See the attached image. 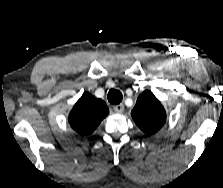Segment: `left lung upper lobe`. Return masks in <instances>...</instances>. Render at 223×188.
Returning a JSON list of instances; mask_svg holds the SVG:
<instances>
[{"label": "left lung upper lobe", "mask_w": 223, "mask_h": 188, "mask_svg": "<svg viewBox=\"0 0 223 188\" xmlns=\"http://www.w3.org/2000/svg\"><path fill=\"white\" fill-rule=\"evenodd\" d=\"M137 126L147 135L158 132L166 120V112L160 101L151 91H144L131 111Z\"/></svg>", "instance_id": "obj_1"}]
</instances>
